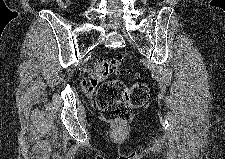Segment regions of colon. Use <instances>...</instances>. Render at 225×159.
Here are the masks:
<instances>
[{
  "instance_id": "1",
  "label": "colon",
  "mask_w": 225,
  "mask_h": 159,
  "mask_svg": "<svg viewBox=\"0 0 225 159\" xmlns=\"http://www.w3.org/2000/svg\"><path fill=\"white\" fill-rule=\"evenodd\" d=\"M65 6L68 0H59ZM122 57L101 59L94 66V78L108 79L119 71ZM149 97V89L145 83H135L127 86L120 80L104 81L96 92V104L105 120L117 125L127 123L132 117L134 108L143 106Z\"/></svg>"
}]
</instances>
